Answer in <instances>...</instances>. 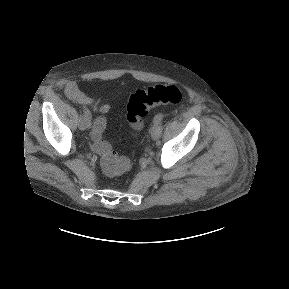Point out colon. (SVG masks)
I'll return each mask as SVG.
<instances>
[{"label": "colon", "mask_w": 289, "mask_h": 289, "mask_svg": "<svg viewBox=\"0 0 289 289\" xmlns=\"http://www.w3.org/2000/svg\"><path fill=\"white\" fill-rule=\"evenodd\" d=\"M182 100L180 89L174 85H154L133 92L126 104V119L131 128L138 130L148 111L161 104H178ZM107 125L106 118L99 116L93 124V149L100 157L103 171L111 176L128 171L131 162L127 157L119 156L111 145L101 138Z\"/></svg>", "instance_id": "5ec220e1"}]
</instances>
